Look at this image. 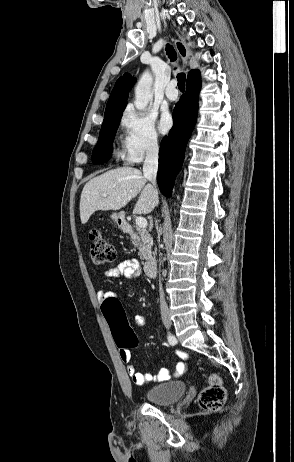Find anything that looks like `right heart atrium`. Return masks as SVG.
Returning a JSON list of instances; mask_svg holds the SVG:
<instances>
[{
  "instance_id": "d8ad5b80",
  "label": "right heart atrium",
  "mask_w": 294,
  "mask_h": 462,
  "mask_svg": "<svg viewBox=\"0 0 294 462\" xmlns=\"http://www.w3.org/2000/svg\"><path fill=\"white\" fill-rule=\"evenodd\" d=\"M121 126L124 130L122 157L126 163H139L144 157L158 153L159 135L149 116L127 109L122 115Z\"/></svg>"
}]
</instances>
